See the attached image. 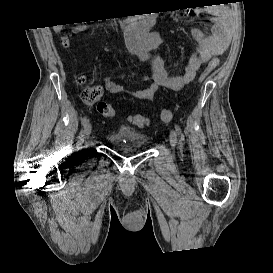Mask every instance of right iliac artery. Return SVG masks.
Listing matches in <instances>:
<instances>
[{
  "label": "right iliac artery",
  "mask_w": 273,
  "mask_h": 273,
  "mask_svg": "<svg viewBox=\"0 0 273 273\" xmlns=\"http://www.w3.org/2000/svg\"><path fill=\"white\" fill-rule=\"evenodd\" d=\"M81 122H82V125L85 126V124L88 122L87 116H84V117L82 118Z\"/></svg>",
  "instance_id": "1"
}]
</instances>
